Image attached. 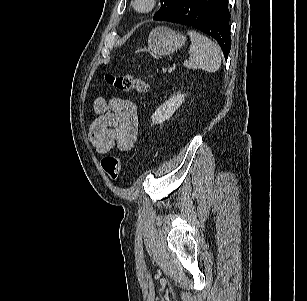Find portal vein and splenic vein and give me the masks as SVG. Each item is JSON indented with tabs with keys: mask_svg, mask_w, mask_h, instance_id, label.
<instances>
[{
	"mask_svg": "<svg viewBox=\"0 0 307 301\" xmlns=\"http://www.w3.org/2000/svg\"><path fill=\"white\" fill-rule=\"evenodd\" d=\"M163 72H164V73H167V72H168V70H167V69H163Z\"/></svg>",
	"mask_w": 307,
	"mask_h": 301,
	"instance_id": "obj_1",
	"label": "portal vein and splenic vein"
}]
</instances>
